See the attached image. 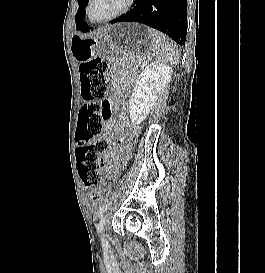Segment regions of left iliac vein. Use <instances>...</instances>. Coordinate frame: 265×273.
I'll list each match as a JSON object with an SVG mask.
<instances>
[{
	"label": "left iliac vein",
	"mask_w": 265,
	"mask_h": 273,
	"mask_svg": "<svg viewBox=\"0 0 265 273\" xmlns=\"http://www.w3.org/2000/svg\"><path fill=\"white\" fill-rule=\"evenodd\" d=\"M106 220H107V215H104L100 219L98 226H97V231L102 238L104 237V229H105V225H106Z\"/></svg>",
	"instance_id": "4c4485c4"
}]
</instances>
